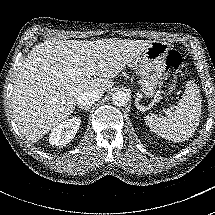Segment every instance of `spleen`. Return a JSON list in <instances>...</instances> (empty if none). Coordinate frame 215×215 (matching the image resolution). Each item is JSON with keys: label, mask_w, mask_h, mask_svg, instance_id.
I'll list each match as a JSON object with an SVG mask.
<instances>
[{"label": "spleen", "mask_w": 215, "mask_h": 215, "mask_svg": "<svg viewBox=\"0 0 215 215\" xmlns=\"http://www.w3.org/2000/svg\"><path fill=\"white\" fill-rule=\"evenodd\" d=\"M201 102L198 89L188 83L175 111L168 116L147 115L145 123L159 137L171 142L186 141L198 126Z\"/></svg>", "instance_id": "1"}]
</instances>
